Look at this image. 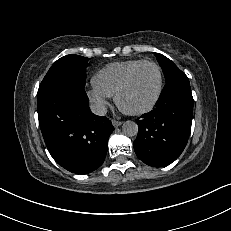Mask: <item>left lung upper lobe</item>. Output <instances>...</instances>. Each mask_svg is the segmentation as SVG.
<instances>
[{
    "label": "left lung upper lobe",
    "mask_w": 231,
    "mask_h": 231,
    "mask_svg": "<svg viewBox=\"0 0 231 231\" xmlns=\"http://www.w3.org/2000/svg\"><path fill=\"white\" fill-rule=\"evenodd\" d=\"M154 55L156 56L160 66L162 67L166 81L172 78L173 76L182 73V71L164 55L159 53H154Z\"/></svg>",
    "instance_id": "1"
}]
</instances>
